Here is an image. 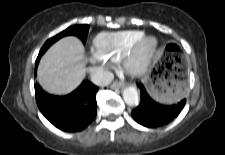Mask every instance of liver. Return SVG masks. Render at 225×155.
<instances>
[{
    "mask_svg": "<svg viewBox=\"0 0 225 155\" xmlns=\"http://www.w3.org/2000/svg\"><path fill=\"white\" fill-rule=\"evenodd\" d=\"M84 48L75 36L54 43L42 56L37 76L42 88L54 95L74 91L85 77Z\"/></svg>",
    "mask_w": 225,
    "mask_h": 155,
    "instance_id": "obj_1",
    "label": "liver"
}]
</instances>
